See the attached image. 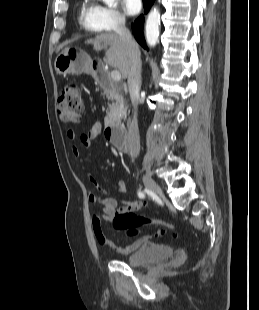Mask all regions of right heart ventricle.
Listing matches in <instances>:
<instances>
[{
    "label": "right heart ventricle",
    "mask_w": 259,
    "mask_h": 310,
    "mask_svg": "<svg viewBox=\"0 0 259 310\" xmlns=\"http://www.w3.org/2000/svg\"><path fill=\"white\" fill-rule=\"evenodd\" d=\"M80 25L89 32H97L101 30L96 20V5L91 0H83L79 13Z\"/></svg>",
    "instance_id": "right-heart-ventricle-1"
}]
</instances>
